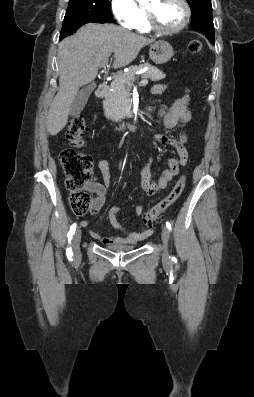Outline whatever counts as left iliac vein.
<instances>
[{"label": "left iliac vein", "mask_w": 254, "mask_h": 397, "mask_svg": "<svg viewBox=\"0 0 254 397\" xmlns=\"http://www.w3.org/2000/svg\"><path fill=\"white\" fill-rule=\"evenodd\" d=\"M170 233L169 230L164 227L162 230V241L164 244V253H163V260L166 262L169 259V252H168V243H169Z\"/></svg>", "instance_id": "obj_1"}]
</instances>
